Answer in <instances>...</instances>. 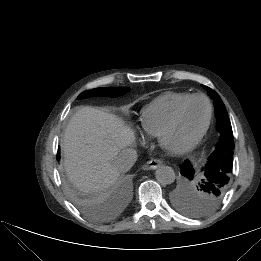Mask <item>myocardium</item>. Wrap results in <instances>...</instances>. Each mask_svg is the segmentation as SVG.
I'll return each instance as SVG.
<instances>
[{"label":"myocardium","instance_id":"f54148a6","mask_svg":"<svg viewBox=\"0 0 261 261\" xmlns=\"http://www.w3.org/2000/svg\"><path fill=\"white\" fill-rule=\"evenodd\" d=\"M198 98L203 99L207 104V117H206V121H205L202 129L190 142H188L182 146H179V147L167 146L165 144V139H166L167 135L171 132V130L177 124V121L179 119V116H180L182 110L190 101H192L194 99H198ZM212 114H213V107H212L211 101L209 100V98L206 95H203V94L190 95L175 108V110L171 114L169 120L167 121L165 126L162 128L161 132L158 135L159 145L161 147L167 149L170 153L175 154V155H183V154L191 152L199 145V143L202 141V139L206 135V133L209 129V126L211 124Z\"/></svg>","mask_w":261,"mask_h":261}]
</instances>
